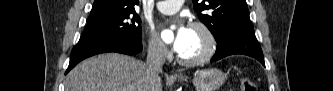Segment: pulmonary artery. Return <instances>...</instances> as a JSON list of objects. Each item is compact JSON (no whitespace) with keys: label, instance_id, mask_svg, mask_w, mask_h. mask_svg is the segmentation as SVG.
Returning a JSON list of instances; mask_svg holds the SVG:
<instances>
[{"label":"pulmonary artery","instance_id":"1","mask_svg":"<svg viewBox=\"0 0 333 91\" xmlns=\"http://www.w3.org/2000/svg\"><path fill=\"white\" fill-rule=\"evenodd\" d=\"M183 1H173V0H165V1H159L157 4V8L160 12L164 14H173L176 13Z\"/></svg>","mask_w":333,"mask_h":91}]
</instances>
